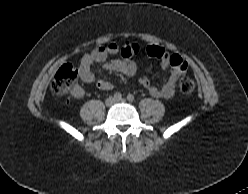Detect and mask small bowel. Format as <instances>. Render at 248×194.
Returning a JSON list of instances; mask_svg holds the SVG:
<instances>
[{"label": "small bowel", "mask_w": 248, "mask_h": 194, "mask_svg": "<svg viewBox=\"0 0 248 194\" xmlns=\"http://www.w3.org/2000/svg\"><path fill=\"white\" fill-rule=\"evenodd\" d=\"M138 51L139 47L132 43H126L121 47L116 44L97 47L81 57L79 62V76L83 82L95 84L100 90L108 91L112 89L113 84L108 80L97 78L92 72V65L98 63L106 71L120 72L127 76H134L137 72V67L132 61V57ZM118 52L121 53V58L108 59L111 55H115ZM146 53L150 57L158 58L162 61V69L166 72V75L160 86L151 85L146 77H141L140 83L154 97L171 98L174 95L177 80L187 68L186 62L181 56L170 55L163 48L156 45L147 46ZM72 95L75 98L81 99L84 96V91L81 87H75L72 90Z\"/></svg>", "instance_id": "obj_1"}]
</instances>
